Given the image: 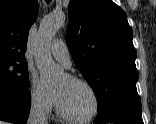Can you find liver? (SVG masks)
Masks as SVG:
<instances>
[{
  "instance_id": "obj_1",
  "label": "liver",
  "mask_w": 156,
  "mask_h": 124,
  "mask_svg": "<svg viewBox=\"0 0 156 124\" xmlns=\"http://www.w3.org/2000/svg\"><path fill=\"white\" fill-rule=\"evenodd\" d=\"M0 124H7V123L0 121Z\"/></svg>"
}]
</instances>
